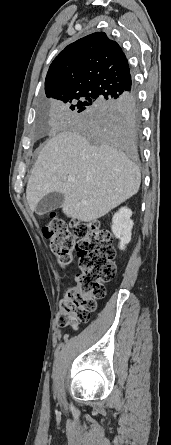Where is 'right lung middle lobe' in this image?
I'll return each instance as SVG.
<instances>
[{
  "instance_id": "obj_1",
  "label": "right lung middle lobe",
  "mask_w": 171,
  "mask_h": 445,
  "mask_svg": "<svg viewBox=\"0 0 171 445\" xmlns=\"http://www.w3.org/2000/svg\"><path fill=\"white\" fill-rule=\"evenodd\" d=\"M70 106L75 113L72 118L81 124H93L95 111L103 104L104 97L92 91L86 92H69L63 96L56 98ZM93 138H97L96 134Z\"/></svg>"
}]
</instances>
